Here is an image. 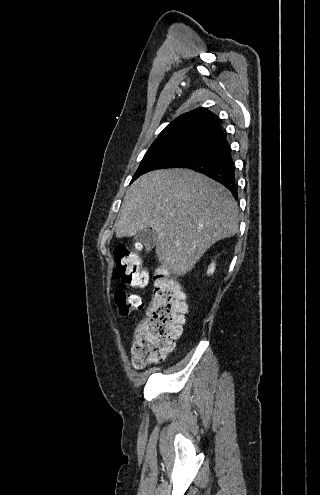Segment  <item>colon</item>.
<instances>
[{
	"label": "colon",
	"mask_w": 320,
	"mask_h": 495,
	"mask_svg": "<svg viewBox=\"0 0 320 495\" xmlns=\"http://www.w3.org/2000/svg\"><path fill=\"white\" fill-rule=\"evenodd\" d=\"M115 275L127 286L142 288L148 282L140 255L125 245L114 250ZM115 301L122 315L141 309L143 301L137 294L125 290L115 292ZM187 310L185 294L180 284L165 270L154 275V293L146 314L136 327L132 345V364L140 369L168 353L182 331Z\"/></svg>",
	"instance_id": "1"
}]
</instances>
